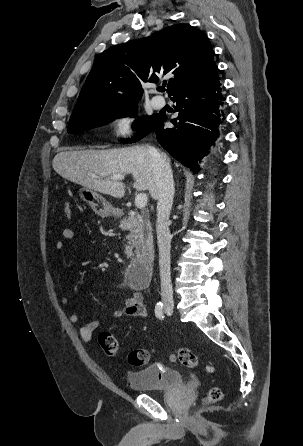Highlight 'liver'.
<instances>
[{"label": "liver", "instance_id": "1", "mask_svg": "<svg viewBox=\"0 0 303 446\" xmlns=\"http://www.w3.org/2000/svg\"><path fill=\"white\" fill-rule=\"evenodd\" d=\"M161 154L170 164V158L165 153ZM52 166L61 177L115 198L124 197L125 185L110 177L131 174L134 179L133 188L138 191L148 190L157 199L156 180L148 147L62 151L54 157Z\"/></svg>", "mask_w": 303, "mask_h": 446}]
</instances>
